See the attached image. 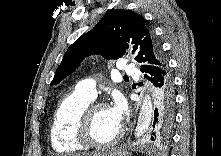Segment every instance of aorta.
<instances>
[{
  "instance_id": "obj_1",
  "label": "aorta",
  "mask_w": 221,
  "mask_h": 156,
  "mask_svg": "<svg viewBox=\"0 0 221 156\" xmlns=\"http://www.w3.org/2000/svg\"><path fill=\"white\" fill-rule=\"evenodd\" d=\"M151 122V106L150 104H145L142 108V112L140 114V117L138 119L134 136L136 139L140 138L144 135V133L148 130V127Z\"/></svg>"
}]
</instances>
